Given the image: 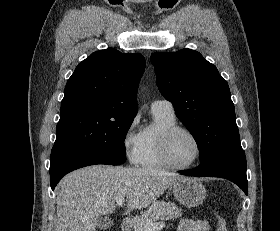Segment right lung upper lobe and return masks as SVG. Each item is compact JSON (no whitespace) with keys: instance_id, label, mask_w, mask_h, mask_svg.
I'll return each instance as SVG.
<instances>
[{"instance_id":"obj_1","label":"right lung upper lobe","mask_w":280,"mask_h":231,"mask_svg":"<svg viewBox=\"0 0 280 231\" xmlns=\"http://www.w3.org/2000/svg\"><path fill=\"white\" fill-rule=\"evenodd\" d=\"M145 69L138 53L113 48L92 53L67 81L60 120L100 116L134 118L136 92Z\"/></svg>"}]
</instances>
